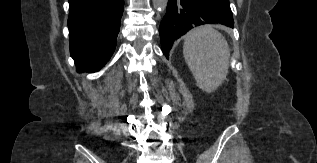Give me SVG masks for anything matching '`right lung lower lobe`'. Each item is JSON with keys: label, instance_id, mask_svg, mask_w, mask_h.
<instances>
[{"label": "right lung lower lobe", "instance_id": "right-lung-lower-lobe-1", "mask_svg": "<svg viewBox=\"0 0 317 163\" xmlns=\"http://www.w3.org/2000/svg\"><path fill=\"white\" fill-rule=\"evenodd\" d=\"M70 53L79 72H95L116 47L124 0H69Z\"/></svg>", "mask_w": 317, "mask_h": 163}]
</instances>
